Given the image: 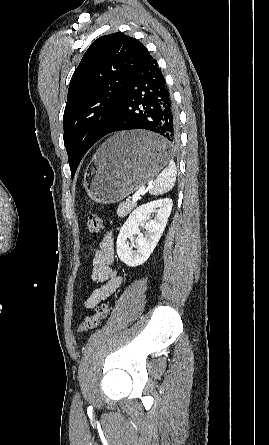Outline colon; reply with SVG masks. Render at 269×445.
<instances>
[{
  "mask_svg": "<svg viewBox=\"0 0 269 445\" xmlns=\"http://www.w3.org/2000/svg\"><path fill=\"white\" fill-rule=\"evenodd\" d=\"M103 227V219L97 214H90L87 219V228L90 233H98ZM109 306L101 304L96 308L94 314L85 317L77 327V333L94 330L109 313Z\"/></svg>",
  "mask_w": 269,
  "mask_h": 445,
  "instance_id": "1",
  "label": "colon"
}]
</instances>
